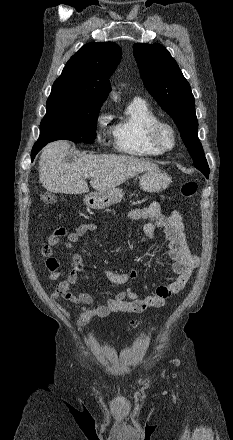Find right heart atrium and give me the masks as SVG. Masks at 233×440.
Segmentation results:
<instances>
[{"label": "right heart atrium", "mask_w": 233, "mask_h": 440, "mask_svg": "<svg viewBox=\"0 0 233 440\" xmlns=\"http://www.w3.org/2000/svg\"><path fill=\"white\" fill-rule=\"evenodd\" d=\"M106 120H107V115L104 114L103 112H100V113L97 115L96 123H97L98 125H101V124H104V123L106 122ZM97 137H98L99 140H102V137H103V136H102L100 133H98Z\"/></svg>", "instance_id": "right-heart-atrium-1"}]
</instances>
